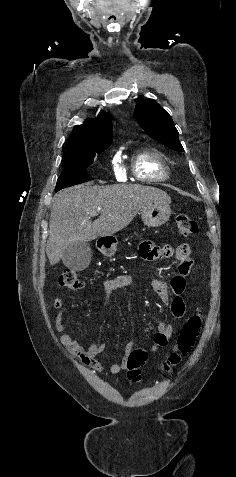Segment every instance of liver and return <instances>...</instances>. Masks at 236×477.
<instances>
[{
  "label": "liver",
  "mask_w": 236,
  "mask_h": 477,
  "mask_svg": "<svg viewBox=\"0 0 236 477\" xmlns=\"http://www.w3.org/2000/svg\"><path fill=\"white\" fill-rule=\"evenodd\" d=\"M157 201L169 203L171 198L158 188L138 184L80 185L60 191L53 198L49 221L50 264H57L71 243L111 236L127 227L145 205ZM92 212L101 214L94 222Z\"/></svg>",
  "instance_id": "liver-1"
}]
</instances>
